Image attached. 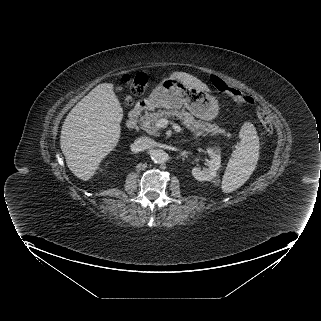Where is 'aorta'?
<instances>
[{"mask_svg": "<svg viewBox=\"0 0 321 321\" xmlns=\"http://www.w3.org/2000/svg\"><path fill=\"white\" fill-rule=\"evenodd\" d=\"M167 153L162 149L153 150L151 153V159L154 163H164L167 160Z\"/></svg>", "mask_w": 321, "mask_h": 321, "instance_id": "762f6f07", "label": "aorta"}]
</instances>
